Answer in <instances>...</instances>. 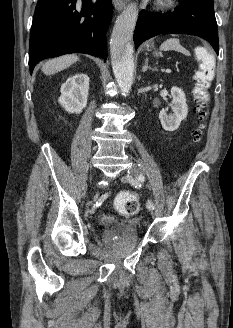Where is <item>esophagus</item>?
I'll return each instance as SVG.
<instances>
[{"instance_id": "obj_1", "label": "esophagus", "mask_w": 233, "mask_h": 328, "mask_svg": "<svg viewBox=\"0 0 233 328\" xmlns=\"http://www.w3.org/2000/svg\"><path fill=\"white\" fill-rule=\"evenodd\" d=\"M112 1H113V5L117 11H120L125 7L124 0H112Z\"/></svg>"}]
</instances>
